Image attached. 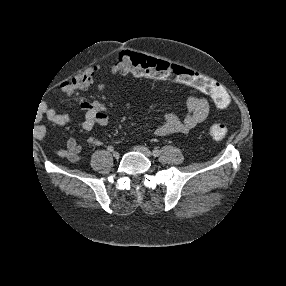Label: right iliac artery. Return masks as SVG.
<instances>
[{
	"instance_id": "82829eb1",
	"label": "right iliac artery",
	"mask_w": 286,
	"mask_h": 286,
	"mask_svg": "<svg viewBox=\"0 0 286 286\" xmlns=\"http://www.w3.org/2000/svg\"><path fill=\"white\" fill-rule=\"evenodd\" d=\"M107 150H108L109 152H112V151L114 150V148H113V146H108Z\"/></svg>"
}]
</instances>
